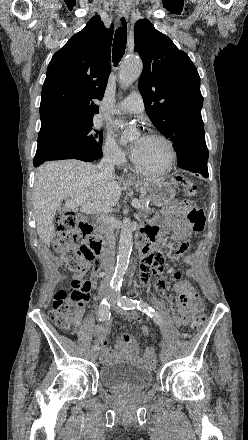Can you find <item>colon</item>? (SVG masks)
<instances>
[{
  "label": "colon",
  "instance_id": "5ec220e1",
  "mask_svg": "<svg viewBox=\"0 0 248 440\" xmlns=\"http://www.w3.org/2000/svg\"><path fill=\"white\" fill-rule=\"evenodd\" d=\"M185 184L186 192L189 195L196 193L197 187L192 182L182 179ZM181 209L187 212V220L190 229L194 232H201L205 227V216L191 203H183ZM82 218L76 212L65 210L58 217V228L54 240V247L60 253L66 268L73 272L74 276L70 288L58 291L53 300L50 318L60 327H68L73 318H76L74 307H79L88 302L93 288V282L88 280L85 275L93 270V267H100V259L96 256L93 248L87 243L80 242ZM166 251L173 249L172 244L164 245ZM206 314L203 310L198 311L190 323L188 331L184 334L190 338L198 332L204 325ZM144 336L150 334V329L144 326L141 330ZM143 361L149 366L157 363L156 355L151 347H147L144 352Z\"/></svg>",
  "mask_w": 248,
  "mask_h": 440
}]
</instances>
